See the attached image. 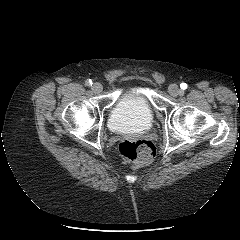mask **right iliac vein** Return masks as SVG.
Listing matches in <instances>:
<instances>
[{
    "label": "right iliac vein",
    "instance_id": "1",
    "mask_svg": "<svg viewBox=\"0 0 240 240\" xmlns=\"http://www.w3.org/2000/svg\"><path fill=\"white\" fill-rule=\"evenodd\" d=\"M102 90H103V86L100 84V83H95V84H93V86H92V91L94 92V93H101L102 92Z\"/></svg>",
    "mask_w": 240,
    "mask_h": 240
}]
</instances>
